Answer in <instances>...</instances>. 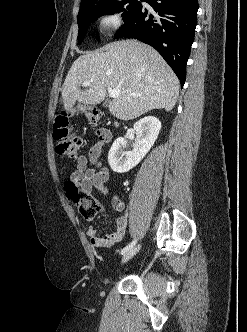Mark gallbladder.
I'll use <instances>...</instances> for the list:
<instances>
[{
    "mask_svg": "<svg viewBox=\"0 0 247 332\" xmlns=\"http://www.w3.org/2000/svg\"><path fill=\"white\" fill-rule=\"evenodd\" d=\"M103 106L106 107V106H107V103H103Z\"/></svg>",
    "mask_w": 247,
    "mask_h": 332,
    "instance_id": "gallbladder-1",
    "label": "gallbladder"
}]
</instances>
